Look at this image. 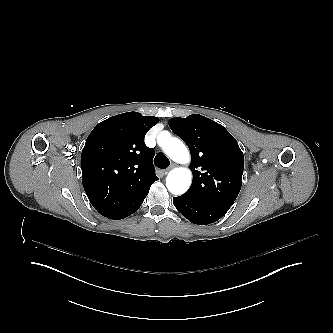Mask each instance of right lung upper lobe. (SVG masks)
<instances>
[{
	"instance_id": "obj_1",
	"label": "right lung upper lobe",
	"mask_w": 333,
	"mask_h": 333,
	"mask_svg": "<svg viewBox=\"0 0 333 333\" xmlns=\"http://www.w3.org/2000/svg\"><path fill=\"white\" fill-rule=\"evenodd\" d=\"M159 119L128 112L100 122L88 136L81 153V168L105 163L117 177L155 174L154 149L144 143L148 130Z\"/></svg>"
}]
</instances>
